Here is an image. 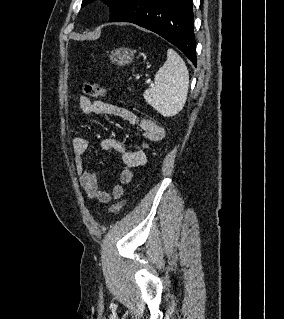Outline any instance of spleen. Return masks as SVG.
Wrapping results in <instances>:
<instances>
[{"mask_svg": "<svg viewBox=\"0 0 284 319\" xmlns=\"http://www.w3.org/2000/svg\"><path fill=\"white\" fill-rule=\"evenodd\" d=\"M154 85L143 96L158 113L171 117L180 112L187 99L189 74L185 62L173 49L155 75Z\"/></svg>", "mask_w": 284, "mask_h": 319, "instance_id": "1", "label": "spleen"}]
</instances>
